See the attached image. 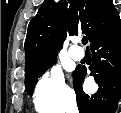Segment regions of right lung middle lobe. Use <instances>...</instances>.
<instances>
[{
    "label": "right lung middle lobe",
    "instance_id": "obj_1",
    "mask_svg": "<svg viewBox=\"0 0 121 113\" xmlns=\"http://www.w3.org/2000/svg\"><path fill=\"white\" fill-rule=\"evenodd\" d=\"M55 62L56 56H52L25 70V88L28 94L33 92L38 78Z\"/></svg>",
    "mask_w": 121,
    "mask_h": 113
}]
</instances>
